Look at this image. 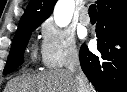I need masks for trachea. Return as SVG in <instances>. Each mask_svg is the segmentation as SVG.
Segmentation results:
<instances>
[{"instance_id": "1", "label": "trachea", "mask_w": 127, "mask_h": 92, "mask_svg": "<svg viewBox=\"0 0 127 92\" xmlns=\"http://www.w3.org/2000/svg\"><path fill=\"white\" fill-rule=\"evenodd\" d=\"M89 16H97L96 5L92 4L89 6Z\"/></svg>"}]
</instances>
